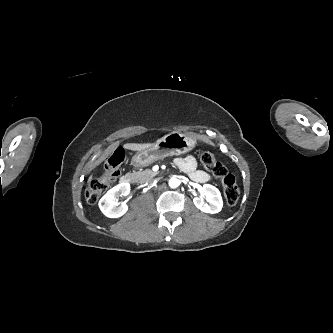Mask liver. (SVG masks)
<instances>
[{
  "label": "liver",
  "instance_id": "6515ba94",
  "mask_svg": "<svg viewBox=\"0 0 333 333\" xmlns=\"http://www.w3.org/2000/svg\"><path fill=\"white\" fill-rule=\"evenodd\" d=\"M152 145H153L152 143H144V144L127 143V144H124V148L132 150V151H142L147 148H150ZM91 180H92V177L90 176L88 179V183H90Z\"/></svg>",
  "mask_w": 333,
  "mask_h": 333
}]
</instances>
